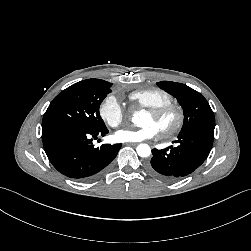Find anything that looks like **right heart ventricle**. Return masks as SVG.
Here are the masks:
<instances>
[{
    "mask_svg": "<svg viewBox=\"0 0 251 251\" xmlns=\"http://www.w3.org/2000/svg\"><path fill=\"white\" fill-rule=\"evenodd\" d=\"M129 99L134 104L145 108H155L172 103V96L159 88L133 91L129 94Z\"/></svg>",
    "mask_w": 251,
    "mask_h": 251,
    "instance_id": "right-heart-ventricle-1",
    "label": "right heart ventricle"
}]
</instances>
